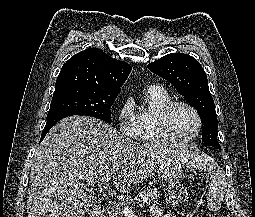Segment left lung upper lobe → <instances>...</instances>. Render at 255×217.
Here are the masks:
<instances>
[{
	"mask_svg": "<svg viewBox=\"0 0 255 217\" xmlns=\"http://www.w3.org/2000/svg\"><path fill=\"white\" fill-rule=\"evenodd\" d=\"M154 74L168 80L198 112L204 125L202 141L221 149L217 140V115L209 92L207 75L200 63L183 53H170L148 65Z\"/></svg>",
	"mask_w": 255,
	"mask_h": 217,
	"instance_id": "1",
	"label": "left lung upper lobe"
}]
</instances>
